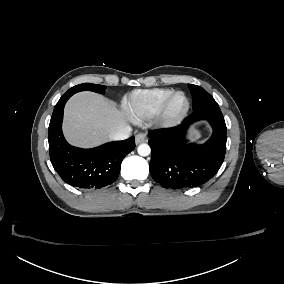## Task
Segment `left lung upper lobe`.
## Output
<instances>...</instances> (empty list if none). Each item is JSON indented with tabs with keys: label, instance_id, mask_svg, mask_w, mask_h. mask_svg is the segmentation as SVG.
<instances>
[{
	"label": "left lung upper lobe",
	"instance_id": "5c2ea615",
	"mask_svg": "<svg viewBox=\"0 0 284 284\" xmlns=\"http://www.w3.org/2000/svg\"><path fill=\"white\" fill-rule=\"evenodd\" d=\"M188 88L192 94V108L196 110L198 108L207 106V105H218L214 98L206 92L202 87L197 85L188 84Z\"/></svg>",
	"mask_w": 284,
	"mask_h": 284
}]
</instances>
